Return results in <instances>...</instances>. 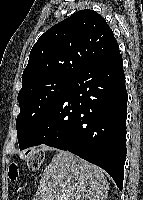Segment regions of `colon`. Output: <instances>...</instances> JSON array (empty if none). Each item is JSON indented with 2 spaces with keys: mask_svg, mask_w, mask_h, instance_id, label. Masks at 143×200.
Listing matches in <instances>:
<instances>
[{
  "mask_svg": "<svg viewBox=\"0 0 143 200\" xmlns=\"http://www.w3.org/2000/svg\"><path fill=\"white\" fill-rule=\"evenodd\" d=\"M22 159L25 161L28 169L31 171L38 170L44 162V152L41 149L32 148L26 150L22 155ZM9 179L12 181H16L19 176V167L17 163L13 162L9 166L8 171Z\"/></svg>",
  "mask_w": 143,
  "mask_h": 200,
  "instance_id": "5ec220e1",
  "label": "colon"
}]
</instances>
